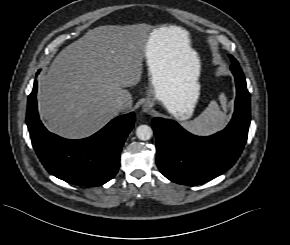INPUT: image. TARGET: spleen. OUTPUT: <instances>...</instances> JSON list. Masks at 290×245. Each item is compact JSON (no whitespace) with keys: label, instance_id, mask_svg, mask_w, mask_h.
Returning a JSON list of instances; mask_svg holds the SVG:
<instances>
[{"label":"spleen","instance_id":"3e777b00","mask_svg":"<svg viewBox=\"0 0 290 245\" xmlns=\"http://www.w3.org/2000/svg\"><path fill=\"white\" fill-rule=\"evenodd\" d=\"M222 111L215 100L194 120L184 123V127L195 135L207 136L214 134L225 127L227 122V98L224 93L219 95Z\"/></svg>","mask_w":290,"mask_h":245}]
</instances>
